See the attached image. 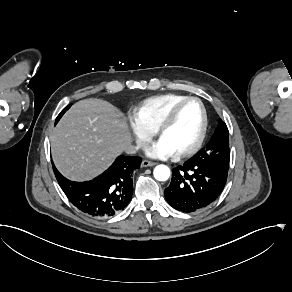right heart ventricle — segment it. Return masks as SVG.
Returning <instances> with one entry per match:
<instances>
[{
  "label": "right heart ventricle",
  "mask_w": 292,
  "mask_h": 292,
  "mask_svg": "<svg viewBox=\"0 0 292 292\" xmlns=\"http://www.w3.org/2000/svg\"><path fill=\"white\" fill-rule=\"evenodd\" d=\"M187 97L179 93H163L143 100L131 108L134 118L143 126L156 129L166 111L177 101Z\"/></svg>",
  "instance_id": "e07e8e85"
}]
</instances>
